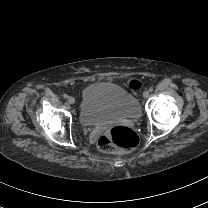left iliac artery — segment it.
<instances>
[{
  "mask_svg": "<svg viewBox=\"0 0 208 208\" xmlns=\"http://www.w3.org/2000/svg\"><path fill=\"white\" fill-rule=\"evenodd\" d=\"M149 91H150V92H152V91H153V88H152V87H150V88H149Z\"/></svg>",
  "mask_w": 208,
  "mask_h": 208,
  "instance_id": "left-iliac-artery-1",
  "label": "left iliac artery"
}]
</instances>
